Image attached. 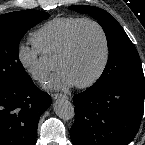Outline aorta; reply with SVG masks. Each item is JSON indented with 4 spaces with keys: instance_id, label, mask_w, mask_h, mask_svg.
<instances>
[{
    "instance_id": "762f6f07",
    "label": "aorta",
    "mask_w": 145,
    "mask_h": 145,
    "mask_svg": "<svg viewBox=\"0 0 145 145\" xmlns=\"http://www.w3.org/2000/svg\"><path fill=\"white\" fill-rule=\"evenodd\" d=\"M56 115L63 120H70L75 116L73 104L65 97H61L54 103Z\"/></svg>"
}]
</instances>
